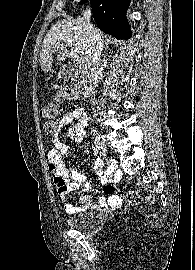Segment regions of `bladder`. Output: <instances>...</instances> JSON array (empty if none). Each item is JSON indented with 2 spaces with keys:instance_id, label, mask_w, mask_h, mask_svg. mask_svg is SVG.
Segmentation results:
<instances>
[{
  "instance_id": "obj_1",
  "label": "bladder",
  "mask_w": 195,
  "mask_h": 270,
  "mask_svg": "<svg viewBox=\"0 0 195 270\" xmlns=\"http://www.w3.org/2000/svg\"><path fill=\"white\" fill-rule=\"evenodd\" d=\"M96 219V213L88 210L68 217L67 224L74 229L85 230L91 228Z\"/></svg>"
}]
</instances>
